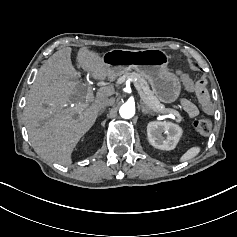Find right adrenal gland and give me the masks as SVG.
Masks as SVG:
<instances>
[{"mask_svg":"<svg viewBox=\"0 0 237 237\" xmlns=\"http://www.w3.org/2000/svg\"><path fill=\"white\" fill-rule=\"evenodd\" d=\"M104 112H105V109H102V110L98 113V117H100Z\"/></svg>","mask_w":237,"mask_h":237,"instance_id":"1","label":"right adrenal gland"}]
</instances>
